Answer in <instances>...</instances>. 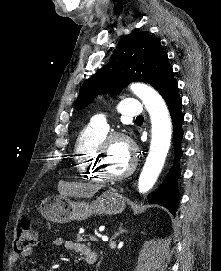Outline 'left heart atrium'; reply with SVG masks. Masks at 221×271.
Segmentation results:
<instances>
[{
  "instance_id": "left-heart-atrium-1",
  "label": "left heart atrium",
  "mask_w": 221,
  "mask_h": 271,
  "mask_svg": "<svg viewBox=\"0 0 221 271\" xmlns=\"http://www.w3.org/2000/svg\"><path fill=\"white\" fill-rule=\"evenodd\" d=\"M112 157H125V152H112Z\"/></svg>"
}]
</instances>
